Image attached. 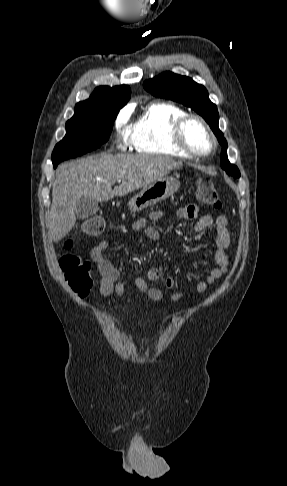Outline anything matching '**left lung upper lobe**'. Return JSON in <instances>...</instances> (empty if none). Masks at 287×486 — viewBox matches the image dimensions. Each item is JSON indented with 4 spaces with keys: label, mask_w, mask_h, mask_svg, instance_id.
Here are the masks:
<instances>
[{
    "label": "left lung upper lobe",
    "mask_w": 287,
    "mask_h": 486,
    "mask_svg": "<svg viewBox=\"0 0 287 486\" xmlns=\"http://www.w3.org/2000/svg\"><path fill=\"white\" fill-rule=\"evenodd\" d=\"M144 88L156 97L170 99L191 107L200 114L210 125L212 131L222 145L221 167L227 174L234 178L240 177L237 166L231 164L227 157V142L223 133L219 130V114L217 107L209 97L208 91L203 85L194 82L191 78L164 72L153 79L143 83Z\"/></svg>",
    "instance_id": "5c2ea615"
}]
</instances>
